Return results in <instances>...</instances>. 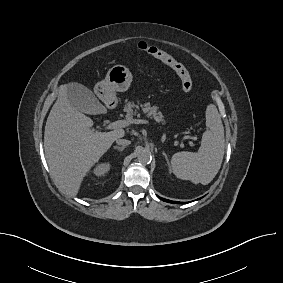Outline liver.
Listing matches in <instances>:
<instances>
[{
	"label": "liver",
	"instance_id": "obj_1",
	"mask_svg": "<svg viewBox=\"0 0 283 283\" xmlns=\"http://www.w3.org/2000/svg\"><path fill=\"white\" fill-rule=\"evenodd\" d=\"M92 126L90 117L71 106L63 86L47 118L44 149L55 182L69 196L78 194L87 172L125 135L121 128L100 132Z\"/></svg>",
	"mask_w": 283,
	"mask_h": 283
}]
</instances>
